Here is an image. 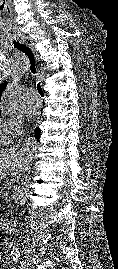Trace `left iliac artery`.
Instances as JSON below:
<instances>
[{
	"mask_svg": "<svg viewBox=\"0 0 118 269\" xmlns=\"http://www.w3.org/2000/svg\"><path fill=\"white\" fill-rule=\"evenodd\" d=\"M13 260H14L15 262H18V261L20 260V254H19V253H15V254H13Z\"/></svg>",
	"mask_w": 118,
	"mask_h": 269,
	"instance_id": "44dca946",
	"label": "left iliac artery"
}]
</instances>
